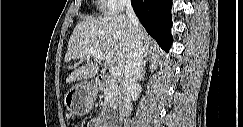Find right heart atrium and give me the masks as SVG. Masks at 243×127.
Listing matches in <instances>:
<instances>
[{"instance_id":"d8ad5b80","label":"right heart atrium","mask_w":243,"mask_h":127,"mask_svg":"<svg viewBox=\"0 0 243 127\" xmlns=\"http://www.w3.org/2000/svg\"><path fill=\"white\" fill-rule=\"evenodd\" d=\"M107 13L116 14L122 12L129 4L128 0H104Z\"/></svg>"}]
</instances>
